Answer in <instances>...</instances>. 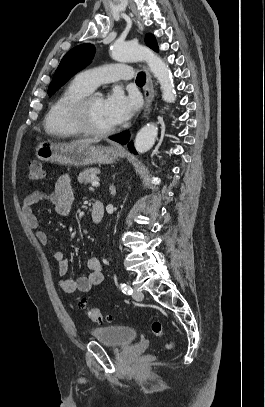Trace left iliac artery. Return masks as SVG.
<instances>
[{"label":"left iliac artery","mask_w":265,"mask_h":407,"mask_svg":"<svg viewBox=\"0 0 265 407\" xmlns=\"http://www.w3.org/2000/svg\"><path fill=\"white\" fill-rule=\"evenodd\" d=\"M121 289L124 294L131 295L133 293L132 288L125 283L121 284Z\"/></svg>","instance_id":"1"}]
</instances>
